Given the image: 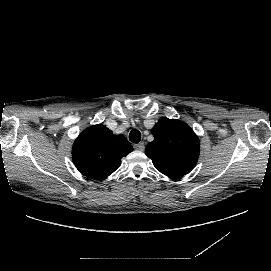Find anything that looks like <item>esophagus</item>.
<instances>
[{"label": "esophagus", "mask_w": 271, "mask_h": 271, "mask_svg": "<svg viewBox=\"0 0 271 271\" xmlns=\"http://www.w3.org/2000/svg\"><path fill=\"white\" fill-rule=\"evenodd\" d=\"M134 149L139 150V151H144L145 149V144L142 143H137L133 145Z\"/></svg>", "instance_id": "esophagus-1"}]
</instances>
